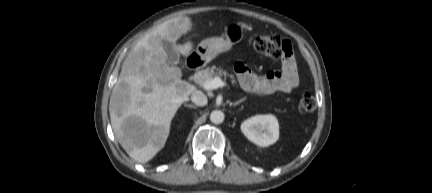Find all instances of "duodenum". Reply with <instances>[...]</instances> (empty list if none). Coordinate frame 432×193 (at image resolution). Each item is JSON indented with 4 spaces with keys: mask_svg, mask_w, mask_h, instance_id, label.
I'll list each match as a JSON object with an SVG mask.
<instances>
[{
    "mask_svg": "<svg viewBox=\"0 0 432 193\" xmlns=\"http://www.w3.org/2000/svg\"><path fill=\"white\" fill-rule=\"evenodd\" d=\"M189 67L195 69V72H198L202 66L201 58L197 55L191 56L187 61Z\"/></svg>",
    "mask_w": 432,
    "mask_h": 193,
    "instance_id": "1",
    "label": "duodenum"
}]
</instances>
